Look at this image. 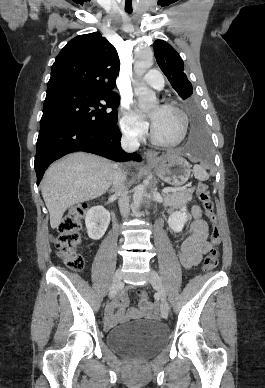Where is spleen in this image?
<instances>
[{"label":"spleen","instance_id":"1","mask_svg":"<svg viewBox=\"0 0 265 388\" xmlns=\"http://www.w3.org/2000/svg\"><path fill=\"white\" fill-rule=\"evenodd\" d=\"M193 172H194V176L195 178H197V180H207L208 178V174H206L205 170H203V168H201V166H197V164H195L194 168H193Z\"/></svg>","mask_w":265,"mask_h":388}]
</instances>
